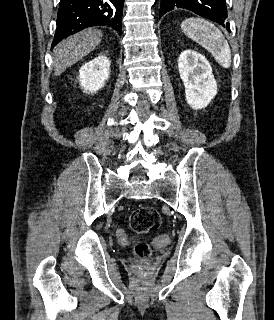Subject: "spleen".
<instances>
[{"instance_id": "obj_1", "label": "spleen", "mask_w": 274, "mask_h": 320, "mask_svg": "<svg viewBox=\"0 0 274 320\" xmlns=\"http://www.w3.org/2000/svg\"><path fill=\"white\" fill-rule=\"evenodd\" d=\"M182 30L188 38H192L194 42L208 50L222 68H230V46L214 24L201 18H188L182 22Z\"/></svg>"}]
</instances>
